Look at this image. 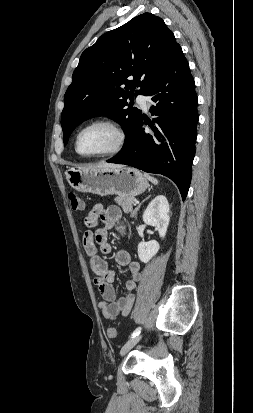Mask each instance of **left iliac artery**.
<instances>
[{
  "instance_id": "44dca946",
  "label": "left iliac artery",
  "mask_w": 253,
  "mask_h": 413,
  "mask_svg": "<svg viewBox=\"0 0 253 413\" xmlns=\"http://www.w3.org/2000/svg\"><path fill=\"white\" fill-rule=\"evenodd\" d=\"M141 328H137L136 330H134V332L131 334V337H135L138 336L140 334Z\"/></svg>"
}]
</instances>
